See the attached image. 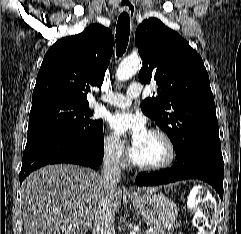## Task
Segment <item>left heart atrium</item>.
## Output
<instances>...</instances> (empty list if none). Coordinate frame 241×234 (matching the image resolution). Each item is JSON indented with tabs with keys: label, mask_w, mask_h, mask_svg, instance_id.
<instances>
[{
	"label": "left heart atrium",
	"mask_w": 241,
	"mask_h": 234,
	"mask_svg": "<svg viewBox=\"0 0 241 234\" xmlns=\"http://www.w3.org/2000/svg\"><path fill=\"white\" fill-rule=\"evenodd\" d=\"M110 127L119 136L127 135L133 150L148 134L144 119L135 114L122 112L110 118Z\"/></svg>",
	"instance_id": "1"
}]
</instances>
